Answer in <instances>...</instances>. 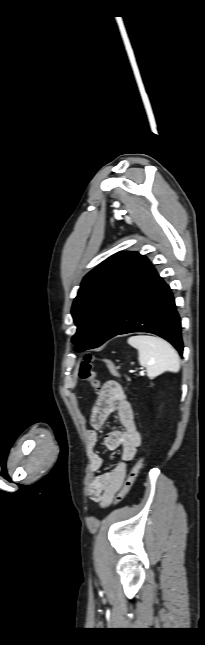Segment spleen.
<instances>
[{
	"instance_id": "1",
	"label": "spleen",
	"mask_w": 205,
	"mask_h": 645,
	"mask_svg": "<svg viewBox=\"0 0 205 645\" xmlns=\"http://www.w3.org/2000/svg\"><path fill=\"white\" fill-rule=\"evenodd\" d=\"M128 344L138 350L140 365L146 368L150 378H155L166 371L173 373L179 371V356L165 340L155 336L138 335L130 337Z\"/></svg>"
}]
</instances>
